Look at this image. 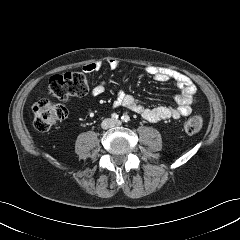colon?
I'll return each mask as SVG.
<instances>
[{
  "label": "colon",
  "mask_w": 240,
  "mask_h": 240,
  "mask_svg": "<svg viewBox=\"0 0 240 240\" xmlns=\"http://www.w3.org/2000/svg\"><path fill=\"white\" fill-rule=\"evenodd\" d=\"M89 89L88 81L80 72H66L54 75L48 82V93L58 100L48 99L38 101L33 107V126L39 132L48 131L53 125L62 122L68 115V109L63 103L69 97L84 96ZM203 120L200 116L189 117L184 123V130L194 134L201 130Z\"/></svg>",
  "instance_id": "5ec220e1"
}]
</instances>
